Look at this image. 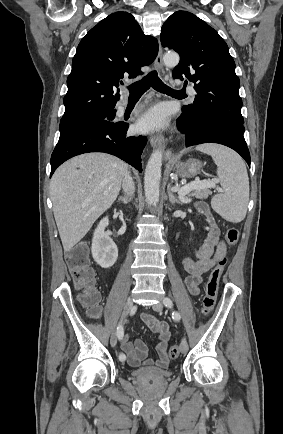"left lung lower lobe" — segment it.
I'll return each mask as SVG.
<instances>
[{"label":"left lung lower lobe","instance_id":"obj_1","mask_svg":"<svg viewBox=\"0 0 283 434\" xmlns=\"http://www.w3.org/2000/svg\"><path fill=\"white\" fill-rule=\"evenodd\" d=\"M178 129L185 135L186 147L202 143H218L239 153L250 167V153L244 139V125L226 117H210L189 127L184 117L177 120Z\"/></svg>","mask_w":283,"mask_h":434}]
</instances>
